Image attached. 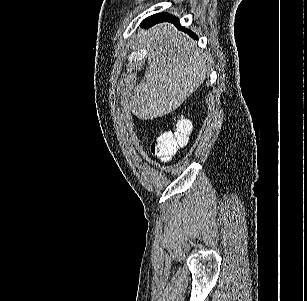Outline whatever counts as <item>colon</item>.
I'll list each match as a JSON object with an SVG mask.
<instances>
[{"label": "colon", "instance_id": "5ec220e1", "mask_svg": "<svg viewBox=\"0 0 307 301\" xmlns=\"http://www.w3.org/2000/svg\"><path fill=\"white\" fill-rule=\"evenodd\" d=\"M192 125L190 120L179 117L173 132L159 135L153 140L152 150L163 158H169L177 150L186 145Z\"/></svg>", "mask_w": 307, "mask_h": 301}]
</instances>
